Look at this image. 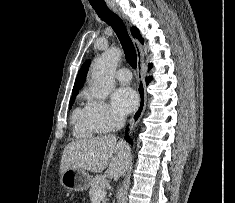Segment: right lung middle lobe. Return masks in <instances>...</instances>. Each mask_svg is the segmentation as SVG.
I'll return each instance as SVG.
<instances>
[{"label":"right lung middle lobe","mask_w":235,"mask_h":203,"mask_svg":"<svg viewBox=\"0 0 235 203\" xmlns=\"http://www.w3.org/2000/svg\"><path fill=\"white\" fill-rule=\"evenodd\" d=\"M76 93H74L70 99L69 107L71 108L72 104L74 103Z\"/></svg>","instance_id":"obj_1"}]
</instances>
